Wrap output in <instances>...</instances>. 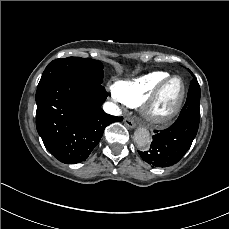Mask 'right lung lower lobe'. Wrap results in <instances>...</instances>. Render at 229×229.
<instances>
[{
    "mask_svg": "<svg viewBox=\"0 0 229 229\" xmlns=\"http://www.w3.org/2000/svg\"><path fill=\"white\" fill-rule=\"evenodd\" d=\"M97 81L61 76L37 88L36 128L46 149L63 163H78L99 143L107 125L122 117L106 114L107 98Z\"/></svg>",
    "mask_w": 229,
    "mask_h": 229,
    "instance_id": "98d812e1",
    "label": "right lung lower lobe"
}]
</instances>
